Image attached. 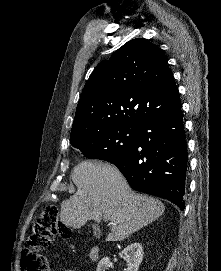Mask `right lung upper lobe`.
I'll list each match as a JSON object with an SVG mask.
<instances>
[{"label": "right lung upper lobe", "mask_w": 221, "mask_h": 271, "mask_svg": "<svg viewBox=\"0 0 221 271\" xmlns=\"http://www.w3.org/2000/svg\"><path fill=\"white\" fill-rule=\"evenodd\" d=\"M180 105L162 50L144 38L133 39L90 75L77 105L70 141L114 126L139 127Z\"/></svg>", "instance_id": "1"}]
</instances>
